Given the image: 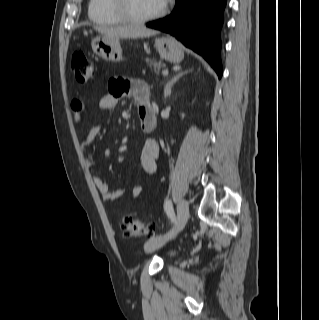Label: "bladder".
Instances as JSON below:
<instances>
[{"label": "bladder", "instance_id": "bladder-1", "mask_svg": "<svg viewBox=\"0 0 319 320\" xmlns=\"http://www.w3.org/2000/svg\"><path fill=\"white\" fill-rule=\"evenodd\" d=\"M175 254H176L175 251H171V252L169 253V256H174Z\"/></svg>", "mask_w": 319, "mask_h": 320}]
</instances>
